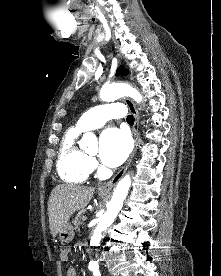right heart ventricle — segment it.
Instances as JSON below:
<instances>
[{"label":"right heart ventricle","instance_id":"obj_1","mask_svg":"<svg viewBox=\"0 0 221 276\" xmlns=\"http://www.w3.org/2000/svg\"><path fill=\"white\" fill-rule=\"evenodd\" d=\"M80 132L79 129L72 128L64 134L57 161L59 176L64 181L75 184L86 181L91 172L89 157L77 145Z\"/></svg>","mask_w":221,"mask_h":276}]
</instances>
